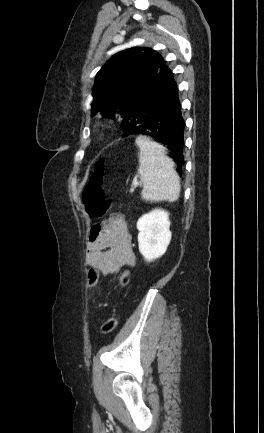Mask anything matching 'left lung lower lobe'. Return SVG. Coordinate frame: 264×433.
Masks as SVG:
<instances>
[{
  "label": "left lung lower lobe",
  "instance_id": "obj_1",
  "mask_svg": "<svg viewBox=\"0 0 264 433\" xmlns=\"http://www.w3.org/2000/svg\"><path fill=\"white\" fill-rule=\"evenodd\" d=\"M184 126L177 84L167 67L138 95L122 124L124 136H148L167 147L180 174Z\"/></svg>",
  "mask_w": 264,
  "mask_h": 433
}]
</instances>
